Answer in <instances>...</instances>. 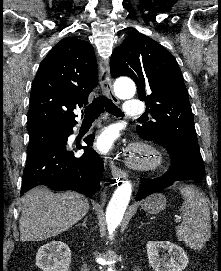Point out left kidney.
<instances>
[{
	"instance_id": "obj_1",
	"label": "left kidney",
	"mask_w": 221,
	"mask_h": 271,
	"mask_svg": "<svg viewBox=\"0 0 221 271\" xmlns=\"http://www.w3.org/2000/svg\"><path fill=\"white\" fill-rule=\"evenodd\" d=\"M146 249L154 271H183L189 261L183 247L172 241H147ZM159 251H163L162 255Z\"/></svg>"
}]
</instances>
